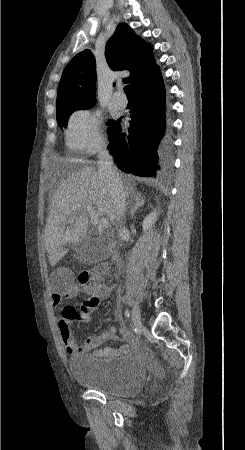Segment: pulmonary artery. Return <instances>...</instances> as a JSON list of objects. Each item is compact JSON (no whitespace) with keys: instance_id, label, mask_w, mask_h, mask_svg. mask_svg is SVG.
Listing matches in <instances>:
<instances>
[{"instance_id":"obj_1","label":"pulmonary artery","mask_w":245,"mask_h":450,"mask_svg":"<svg viewBox=\"0 0 245 450\" xmlns=\"http://www.w3.org/2000/svg\"><path fill=\"white\" fill-rule=\"evenodd\" d=\"M112 100H113V103L120 108H124L127 105V98L124 95L122 90L116 91L113 94Z\"/></svg>"}]
</instances>
